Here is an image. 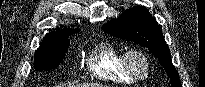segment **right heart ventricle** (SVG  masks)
Instances as JSON below:
<instances>
[{"label": "right heart ventricle", "instance_id": "1", "mask_svg": "<svg viewBox=\"0 0 205 87\" xmlns=\"http://www.w3.org/2000/svg\"><path fill=\"white\" fill-rule=\"evenodd\" d=\"M124 51L105 41L95 45L89 52L87 65L90 73L98 80L115 84H132L135 82L124 69L122 63Z\"/></svg>", "mask_w": 205, "mask_h": 87}]
</instances>
